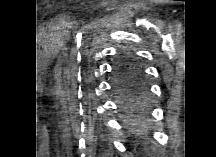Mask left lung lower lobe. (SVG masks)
Masks as SVG:
<instances>
[{
  "instance_id": "obj_1",
  "label": "left lung lower lobe",
  "mask_w": 216,
  "mask_h": 157,
  "mask_svg": "<svg viewBox=\"0 0 216 157\" xmlns=\"http://www.w3.org/2000/svg\"><path fill=\"white\" fill-rule=\"evenodd\" d=\"M114 88L121 100V105L123 107L124 113L129 116L130 118H134L132 115V107L130 106V102L133 99V89L131 86L124 85L116 80L114 82Z\"/></svg>"
}]
</instances>
